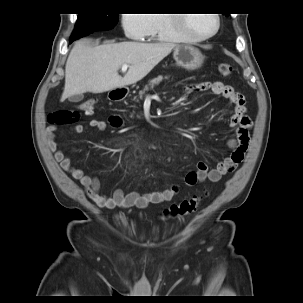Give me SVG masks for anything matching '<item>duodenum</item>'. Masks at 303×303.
<instances>
[{"instance_id": "1", "label": "duodenum", "mask_w": 303, "mask_h": 303, "mask_svg": "<svg viewBox=\"0 0 303 303\" xmlns=\"http://www.w3.org/2000/svg\"><path fill=\"white\" fill-rule=\"evenodd\" d=\"M124 96H125V93L122 91H112L110 93V98L112 100H116V101L123 99Z\"/></svg>"}]
</instances>
